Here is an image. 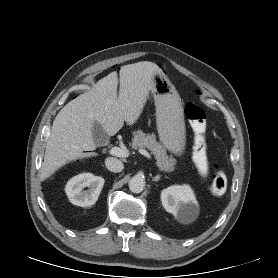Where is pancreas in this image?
<instances>
[{"mask_svg": "<svg viewBox=\"0 0 278 278\" xmlns=\"http://www.w3.org/2000/svg\"><path fill=\"white\" fill-rule=\"evenodd\" d=\"M133 135L131 145L133 149L147 148L155 156L156 164L161 171L171 172L174 170L175 159L167 155L166 149L156 141L155 135H146L141 130L135 131Z\"/></svg>", "mask_w": 278, "mask_h": 278, "instance_id": "obj_1", "label": "pancreas"}]
</instances>
